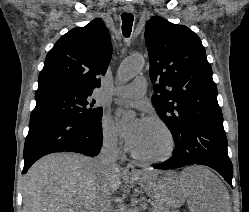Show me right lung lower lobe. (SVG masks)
Listing matches in <instances>:
<instances>
[{
    "mask_svg": "<svg viewBox=\"0 0 249 212\" xmlns=\"http://www.w3.org/2000/svg\"><path fill=\"white\" fill-rule=\"evenodd\" d=\"M102 140L101 122H81L61 116L31 120L24 146L22 174L39 158L53 152H77L95 156L101 149Z\"/></svg>",
    "mask_w": 249,
    "mask_h": 212,
    "instance_id": "obj_1",
    "label": "right lung lower lobe"
}]
</instances>
